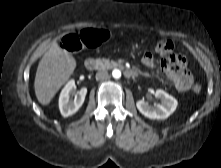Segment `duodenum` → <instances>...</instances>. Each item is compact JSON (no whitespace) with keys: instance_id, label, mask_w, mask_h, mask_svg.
<instances>
[{"instance_id":"1","label":"duodenum","mask_w":221,"mask_h":168,"mask_svg":"<svg viewBox=\"0 0 221 168\" xmlns=\"http://www.w3.org/2000/svg\"><path fill=\"white\" fill-rule=\"evenodd\" d=\"M84 65L88 70H95L98 67V62L95 58L88 57L85 59ZM124 75L126 78H134L137 75V72L133 69H125Z\"/></svg>"}]
</instances>
